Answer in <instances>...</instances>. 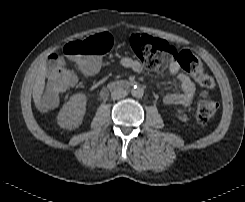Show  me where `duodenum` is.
Returning a JSON list of instances; mask_svg holds the SVG:
<instances>
[{"instance_id": "duodenum-1", "label": "duodenum", "mask_w": 245, "mask_h": 202, "mask_svg": "<svg viewBox=\"0 0 245 202\" xmlns=\"http://www.w3.org/2000/svg\"><path fill=\"white\" fill-rule=\"evenodd\" d=\"M135 85L132 81H122L117 83H112L109 85L110 89L127 90Z\"/></svg>"}]
</instances>
